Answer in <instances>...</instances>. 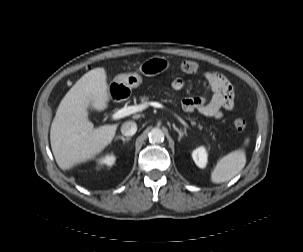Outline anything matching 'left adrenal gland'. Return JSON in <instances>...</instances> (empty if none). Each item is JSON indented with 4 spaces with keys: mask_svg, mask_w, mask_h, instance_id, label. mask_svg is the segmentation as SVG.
Returning <instances> with one entry per match:
<instances>
[{
    "mask_svg": "<svg viewBox=\"0 0 303 252\" xmlns=\"http://www.w3.org/2000/svg\"><path fill=\"white\" fill-rule=\"evenodd\" d=\"M173 128H174V130L179 134L178 141H181L182 137H183L184 135H186V133L183 132V131H181V130H179L174 124H173Z\"/></svg>",
    "mask_w": 303,
    "mask_h": 252,
    "instance_id": "1",
    "label": "left adrenal gland"
}]
</instances>
